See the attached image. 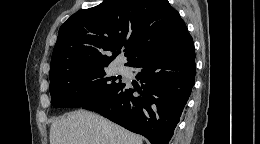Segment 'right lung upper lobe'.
Wrapping results in <instances>:
<instances>
[{"label":"right lung upper lobe","mask_w":260,"mask_h":144,"mask_svg":"<svg viewBox=\"0 0 260 144\" xmlns=\"http://www.w3.org/2000/svg\"><path fill=\"white\" fill-rule=\"evenodd\" d=\"M90 32L91 35H86ZM167 0H104L73 14L59 29L50 77L65 71L107 66L121 49L127 63L188 35ZM112 53V56L108 54Z\"/></svg>","instance_id":"cb5924a9"}]
</instances>
